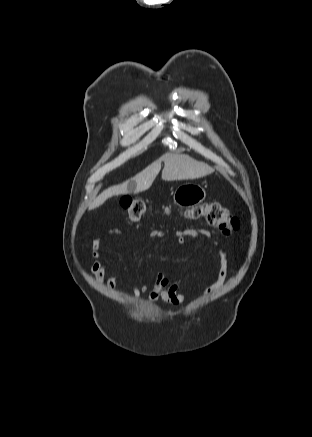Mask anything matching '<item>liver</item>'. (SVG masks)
Returning a JSON list of instances; mask_svg holds the SVG:
<instances>
[{"label": "liver", "instance_id": "liver-1", "mask_svg": "<svg viewBox=\"0 0 312 437\" xmlns=\"http://www.w3.org/2000/svg\"><path fill=\"white\" fill-rule=\"evenodd\" d=\"M162 161L164 162L162 179L165 181L196 179L214 172L212 167L193 159L189 155L167 153L131 178V181L134 182V185L131 187H129L130 180H127L122 184L104 190L89 205V210L101 206L112 196L128 194L131 191L134 193H140L148 190L161 170Z\"/></svg>", "mask_w": 312, "mask_h": 437}]
</instances>
